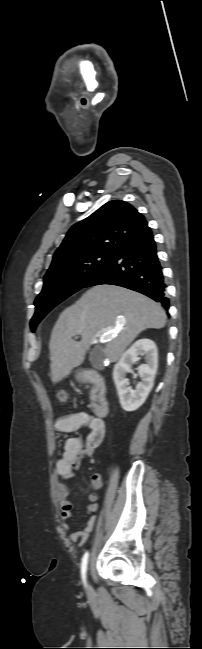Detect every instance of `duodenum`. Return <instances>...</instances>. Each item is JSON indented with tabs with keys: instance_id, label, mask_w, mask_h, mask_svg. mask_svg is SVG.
<instances>
[{
	"instance_id": "obj_1",
	"label": "duodenum",
	"mask_w": 202,
	"mask_h": 649,
	"mask_svg": "<svg viewBox=\"0 0 202 649\" xmlns=\"http://www.w3.org/2000/svg\"><path fill=\"white\" fill-rule=\"evenodd\" d=\"M82 379L91 384L90 399L95 414L105 417L109 411V402L104 378L94 370H86L83 372Z\"/></svg>"
}]
</instances>
